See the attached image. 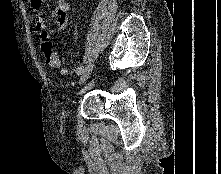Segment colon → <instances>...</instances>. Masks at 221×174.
<instances>
[{"label": "colon", "mask_w": 221, "mask_h": 174, "mask_svg": "<svg viewBox=\"0 0 221 174\" xmlns=\"http://www.w3.org/2000/svg\"><path fill=\"white\" fill-rule=\"evenodd\" d=\"M41 51L44 54L46 62L61 70H65V61L54 50L53 43L51 41L52 35L46 31L41 32Z\"/></svg>", "instance_id": "colon-1"}]
</instances>
